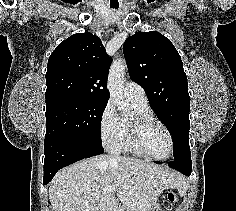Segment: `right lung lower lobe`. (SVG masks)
<instances>
[{
    "mask_svg": "<svg viewBox=\"0 0 236 211\" xmlns=\"http://www.w3.org/2000/svg\"><path fill=\"white\" fill-rule=\"evenodd\" d=\"M43 183L48 184L56 172L76 161L104 152L102 144L81 138H52L45 140Z\"/></svg>",
    "mask_w": 236,
    "mask_h": 211,
    "instance_id": "98d812e1",
    "label": "right lung lower lobe"
}]
</instances>
